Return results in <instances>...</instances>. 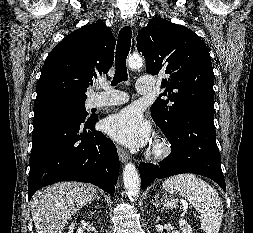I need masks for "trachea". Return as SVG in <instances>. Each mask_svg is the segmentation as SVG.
<instances>
[{
	"instance_id": "obj_1",
	"label": "trachea",
	"mask_w": 253,
	"mask_h": 233,
	"mask_svg": "<svg viewBox=\"0 0 253 233\" xmlns=\"http://www.w3.org/2000/svg\"><path fill=\"white\" fill-rule=\"evenodd\" d=\"M131 36L130 26H124L119 32L115 58L116 71L111 83L113 86L128 80L126 59L131 46Z\"/></svg>"
}]
</instances>
